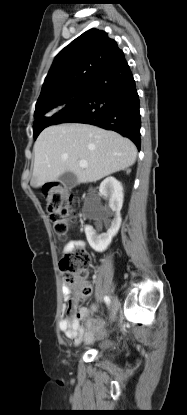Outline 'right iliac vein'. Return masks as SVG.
Wrapping results in <instances>:
<instances>
[{
	"label": "right iliac vein",
	"mask_w": 187,
	"mask_h": 415,
	"mask_svg": "<svg viewBox=\"0 0 187 415\" xmlns=\"http://www.w3.org/2000/svg\"><path fill=\"white\" fill-rule=\"evenodd\" d=\"M118 309H119L118 298L116 296H113L112 297V306H111V316H110L111 321H113L115 319ZM102 328H103V326H99L98 330H101Z\"/></svg>",
	"instance_id": "obj_1"
}]
</instances>
